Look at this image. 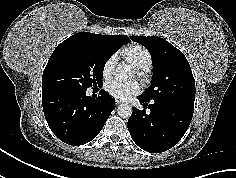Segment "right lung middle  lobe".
Listing matches in <instances>:
<instances>
[{
    "label": "right lung middle lobe",
    "mask_w": 236,
    "mask_h": 178,
    "mask_svg": "<svg viewBox=\"0 0 236 178\" xmlns=\"http://www.w3.org/2000/svg\"><path fill=\"white\" fill-rule=\"evenodd\" d=\"M120 47L121 44L83 40L60 43L44 69L42 92H83L101 85L105 63Z\"/></svg>",
    "instance_id": "dd1d6c3e"
}]
</instances>
